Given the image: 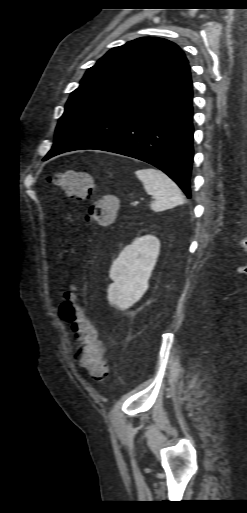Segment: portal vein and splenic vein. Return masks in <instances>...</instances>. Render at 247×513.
I'll return each instance as SVG.
<instances>
[{
    "label": "portal vein and splenic vein",
    "mask_w": 247,
    "mask_h": 513,
    "mask_svg": "<svg viewBox=\"0 0 247 513\" xmlns=\"http://www.w3.org/2000/svg\"><path fill=\"white\" fill-rule=\"evenodd\" d=\"M139 202L135 201L133 204H138Z\"/></svg>",
    "instance_id": "obj_1"
}]
</instances>
